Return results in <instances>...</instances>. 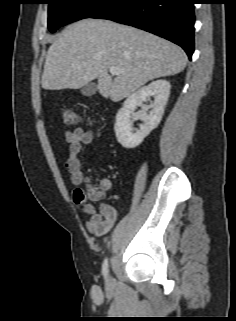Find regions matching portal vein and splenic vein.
Masks as SVG:
<instances>
[{"mask_svg":"<svg viewBox=\"0 0 236 321\" xmlns=\"http://www.w3.org/2000/svg\"><path fill=\"white\" fill-rule=\"evenodd\" d=\"M109 72L112 74V75H119L120 73L123 72L122 69L118 68V67H110L109 68Z\"/></svg>","mask_w":236,"mask_h":321,"instance_id":"obj_1","label":"portal vein and splenic vein"}]
</instances>
